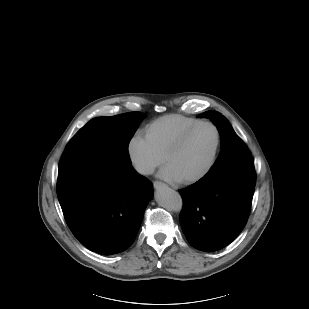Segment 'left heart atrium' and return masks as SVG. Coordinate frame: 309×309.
Returning a JSON list of instances; mask_svg holds the SVG:
<instances>
[{
	"instance_id": "1",
	"label": "left heart atrium",
	"mask_w": 309,
	"mask_h": 309,
	"mask_svg": "<svg viewBox=\"0 0 309 309\" xmlns=\"http://www.w3.org/2000/svg\"><path fill=\"white\" fill-rule=\"evenodd\" d=\"M159 176L172 183H178L182 180L177 172L168 164L161 169Z\"/></svg>"
}]
</instances>
